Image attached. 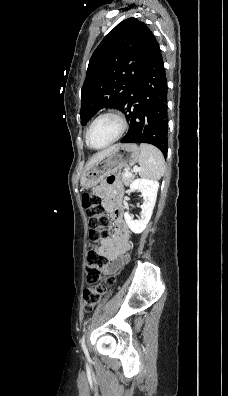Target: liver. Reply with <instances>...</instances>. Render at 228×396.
Here are the masks:
<instances>
[{"label": "liver", "instance_id": "liver-1", "mask_svg": "<svg viewBox=\"0 0 228 396\" xmlns=\"http://www.w3.org/2000/svg\"><path fill=\"white\" fill-rule=\"evenodd\" d=\"M117 145L111 146L101 152H98L95 154L86 164V168L92 166L94 163L105 157L107 154H109Z\"/></svg>", "mask_w": 228, "mask_h": 396}]
</instances>
